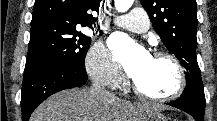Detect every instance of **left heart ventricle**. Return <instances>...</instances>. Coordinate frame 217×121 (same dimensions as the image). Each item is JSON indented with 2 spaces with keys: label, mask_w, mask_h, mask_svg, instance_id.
Wrapping results in <instances>:
<instances>
[{
  "label": "left heart ventricle",
  "mask_w": 217,
  "mask_h": 121,
  "mask_svg": "<svg viewBox=\"0 0 217 121\" xmlns=\"http://www.w3.org/2000/svg\"><path fill=\"white\" fill-rule=\"evenodd\" d=\"M134 80L142 90L155 95H163L174 88L176 72L167 60L150 57Z\"/></svg>",
  "instance_id": "b2bd125f"
}]
</instances>
